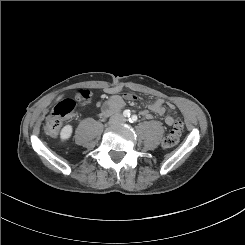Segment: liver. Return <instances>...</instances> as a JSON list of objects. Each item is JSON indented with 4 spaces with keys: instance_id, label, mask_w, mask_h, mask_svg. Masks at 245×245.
Here are the masks:
<instances>
[{
    "instance_id": "liver-1",
    "label": "liver",
    "mask_w": 245,
    "mask_h": 245,
    "mask_svg": "<svg viewBox=\"0 0 245 245\" xmlns=\"http://www.w3.org/2000/svg\"><path fill=\"white\" fill-rule=\"evenodd\" d=\"M62 97H63V95H60V96L57 98V101L60 100Z\"/></svg>"
}]
</instances>
